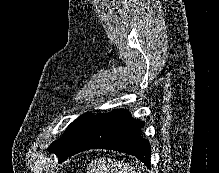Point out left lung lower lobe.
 I'll use <instances>...</instances> for the list:
<instances>
[{
	"label": "left lung lower lobe",
	"instance_id": "0a47b994",
	"mask_svg": "<svg viewBox=\"0 0 219 173\" xmlns=\"http://www.w3.org/2000/svg\"><path fill=\"white\" fill-rule=\"evenodd\" d=\"M143 126L144 122L133 119L125 109L95 115L75 143L58 158L59 162L84 150L102 148L134 155L150 166V145L140 135Z\"/></svg>",
	"mask_w": 219,
	"mask_h": 173
}]
</instances>
